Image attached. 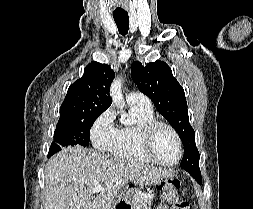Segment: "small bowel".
<instances>
[{"label": "small bowel", "mask_w": 253, "mask_h": 209, "mask_svg": "<svg viewBox=\"0 0 253 209\" xmlns=\"http://www.w3.org/2000/svg\"><path fill=\"white\" fill-rule=\"evenodd\" d=\"M157 209H176L175 206L169 208L167 205L165 204H161L157 207Z\"/></svg>", "instance_id": "c3829d8e"}]
</instances>
